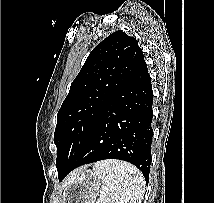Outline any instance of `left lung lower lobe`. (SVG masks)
I'll list each match as a JSON object with an SVG mask.
<instances>
[{
	"label": "left lung lower lobe",
	"mask_w": 214,
	"mask_h": 203,
	"mask_svg": "<svg viewBox=\"0 0 214 203\" xmlns=\"http://www.w3.org/2000/svg\"><path fill=\"white\" fill-rule=\"evenodd\" d=\"M153 91L143 59L96 119L80 152L60 181L75 168L104 159L132 163L149 180L153 137Z\"/></svg>",
	"instance_id": "1"
}]
</instances>
